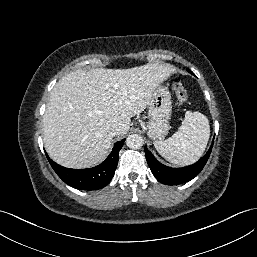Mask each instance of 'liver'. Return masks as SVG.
Wrapping results in <instances>:
<instances>
[{
	"instance_id": "obj_1",
	"label": "liver",
	"mask_w": 257,
	"mask_h": 257,
	"mask_svg": "<svg viewBox=\"0 0 257 257\" xmlns=\"http://www.w3.org/2000/svg\"><path fill=\"white\" fill-rule=\"evenodd\" d=\"M175 69L146 64L130 69H78L51 91L43 117V142L49 156L68 168L97 165L108 155L112 128L125 135L130 118L149 105L154 90Z\"/></svg>"
}]
</instances>
